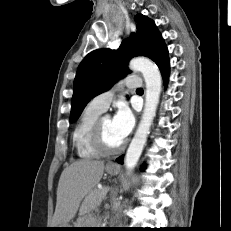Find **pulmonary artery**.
Segmentation results:
<instances>
[{"label": "pulmonary artery", "mask_w": 231, "mask_h": 231, "mask_svg": "<svg viewBox=\"0 0 231 231\" xmlns=\"http://www.w3.org/2000/svg\"><path fill=\"white\" fill-rule=\"evenodd\" d=\"M120 84L130 89H136L141 86L142 81L138 75L131 74L128 75L126 79L122 81ZM115 91L116 89L112 88L108 91L99 94L98 96L92 99L89 105H91L95 109L100 110L101 112L105 111L109 107L111 101L113 100L115 96Z\"/></svg>", "instance_id": "e3ab8cb5"}]
</instances>
